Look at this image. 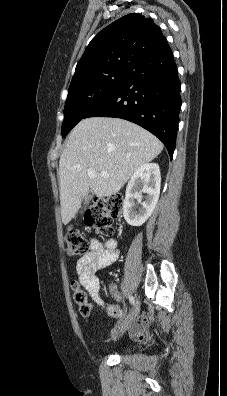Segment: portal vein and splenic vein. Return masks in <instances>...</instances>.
Instances as JSON below:
<instances>
[{
    "instance_id": "1",
    "label": "portal vein and splenic vein",
    "mask_w": 227,
    "mask_h": 396,
    "mask_svg": "<svg viewBox=\"0 0 227 396\" xmlns=\"http://www.w3.org/2000/svg\"><path fill=\"white\" fill-rule=\"evenodd\" d=\"M87 174H88V176H89L90 178L96 177V172H95V170L92 169V168L88 169ZM101 176H102V177H108L109 175H108L107 172H104V171H103V172H101Z\"/></svg>"
}]
</instances>
